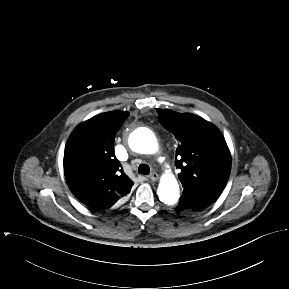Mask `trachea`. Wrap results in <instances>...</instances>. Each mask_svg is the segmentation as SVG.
Returning a JSON list of instances; mask_svg holds the SVG:
<instances>
[{"instance_id": "3493384b", "label": "trachea", "mask_w": 289, "mask_h": 289, "mask_svg": "<svg viewBox=\"0 0 289 289\" xmlns=\"http://www.w3.org/2000/svg\"><path fill=\"white\" fill-rule=\"evenodd\" d=\"M138 173L142 175H148L150 173V167L147 164H141L138 167Z\"/></svg>"}]
</instances>
